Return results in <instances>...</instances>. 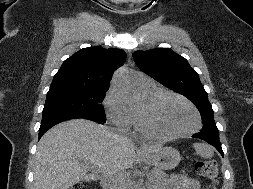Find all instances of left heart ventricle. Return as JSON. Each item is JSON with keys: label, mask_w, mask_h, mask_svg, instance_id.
I'll return each instance as SVG.
<instances>
[{"label": "left heart ventricle", "mask_w": 253, "mask_h": 189, "mask_svg": "<svg viewBox=\"0 0 253 189\" xmlns=\"http://www.w3.org/2000/svg\"><path fill=\"white\" fill-rule=\"evenodd\" d=\"M151 124L165 133H179L195 126L196 118L192 109L173 97H164L150 114Z\"/></svg>", "instance_id": "b2bd125f"}]
</instances>
